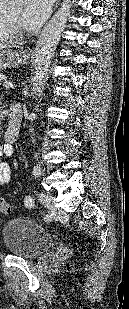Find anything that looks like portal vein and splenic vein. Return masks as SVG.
Masks as SVG:
<instances>
[{"instance_id": "1", "label": "portal vein and splenic vein", "mask_w": 129, "mask_h": 309, "mask_svg": "<svg viewBox=\"0 0 129 309\" xmlns=\"http://www.w3.org/2000/svg\"><path fill=\"white\" fill-rule=\"evenodd\" d=\"M5 86H6V87H10V86H11V83H10V82H6V83H5Z\"/></svg>"}]
</instances>
